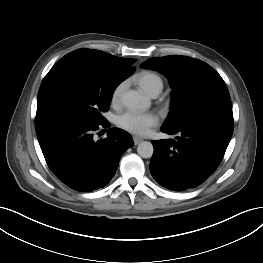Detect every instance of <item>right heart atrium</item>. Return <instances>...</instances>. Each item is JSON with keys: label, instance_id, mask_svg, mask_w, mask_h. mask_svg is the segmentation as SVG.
Segmentation results:
<instances>
[{"label": "right heart atrium", "instance_id": "1", "mask_svg": "<svg viewBox=\"0 0 263 263\" xmlns=\"http://www.w3.org/2000/svg\"><path fill=\"white\" fill-rule=\"evenodd\" d=\"M123 89H124V84H122V83L117 85L113 89V91L111 93V102L113 104H116V103H118L120 101Z\"/></svg>", "mask_w": 263, "mask_h": 263}]
</instances>
